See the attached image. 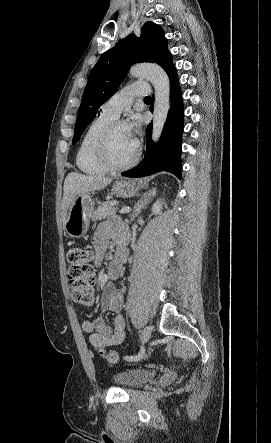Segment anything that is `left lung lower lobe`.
<instances>
[{
	"instance_id": "left-lung-lower-lobe-1",
	"label": "left lung lower lobe",
	"mask_w": 271,
	"mask_h": 443,
	"mask_svg": "<svg viewBox=\"0 0 271 443\" xmlns=\"http://www.w3.org/2000/svg\"><path fill=\"white\" fill-rule=\"evenodd\" d=\"M170 79L171 107L157 146L151 142L152 124L147 126V147L144 159L135 168L122 173L126 177H144L168 171L181 179V139L183 133V103L172 55L168 51L158 62ZM153 112V104L150 107Z\"/></svg>"
}]
</instances>
